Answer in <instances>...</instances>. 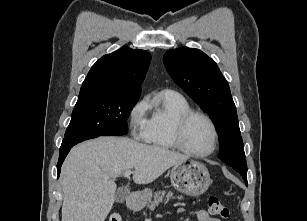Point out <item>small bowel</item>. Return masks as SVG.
<instances>
[{
	"label": "small bowel",
	"instance_id": "obj_1",
	"mask_svg": "<svg viewBox=\"0 0 307 221\" xmlns=\"http://www.w3.org/2000/svg\"><path fill=\"white\" fill-rule=\"evenodd\" d=\"M185 213V209L180 207L176 210L177 215H182ZM197 221H220L217 218L211 217L206 210H198L196 212Z\"/></svg>",
	"mask_w": 307,
	"mask_h": 221
}]
</instances>
